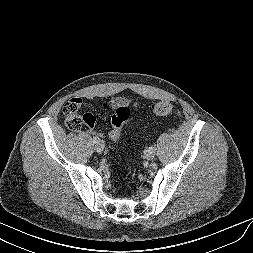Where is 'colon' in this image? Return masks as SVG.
<instances>
[{
    "label": "colon",
    "instance_id": "colon-1",
    "mask_svg": "<svg viewBox=\"0 0 253 253\" xmlns=\"http://www.w3.org/2000/svg\"><path fill=\"white\" fill-rule=\"evenodd\" d=\"M152 112L159 117L167 116L173 112V106L167 101H159L152 105ZM130 115V108L127 105L121 104L115 108L111 119L112 128L109 132L112 143L119 139L121 127L128 123ZM62 117L66 126L73 131L78 130L82 125L93 126L95 123V117L91 113L81 111V101L77 98L65 103Z\"/></svg>",
    "mask_w": 253,
    "mask_h": 253
}]
</instances>
